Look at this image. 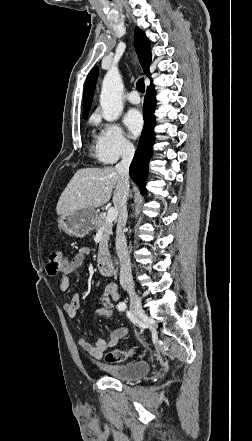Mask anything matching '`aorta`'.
I'll use <instances>...</instances> for the list:
<instances>
[{
  "label": "aorta",
  "instance_id": "aorta-1",
  "mask_svg": "<svg viewBox=\"0 0 252 441\" xmlns=\"http://www.w3.org/2000/svg\"><path fill=\"white\" fill-rule=\"evenodd\" d=\"M123 83L119 71L110 69L102 83L100 104L102 116L106 121H115L123 110L122 103Z\"/></svg>",
  "mask_w": 252,
  "mask_h": 441
}]
</instances>
